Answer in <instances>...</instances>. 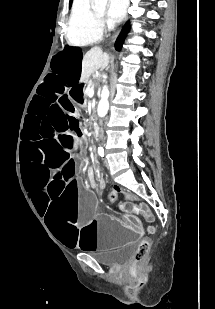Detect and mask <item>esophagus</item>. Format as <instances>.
Masks as SVG:
<instances>
[{
    "label": "esophagus",
    "mask_w": 215,
    "mask_h": 309,
    "mask_svg": "<svg viewBox=\"0 0 215 309\" xmlns=\"http://www.w3.org/2000/svg\"><path fill=\"white\" fill-rule=\"evenodd\" d=\"M117 35L115 37H113V41L116 39Z\"/></svg>",
    "instance_id": "esophagus-1"
}]
</instances>
